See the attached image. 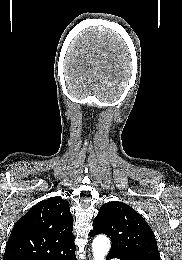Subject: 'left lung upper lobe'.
<instances>
[{"mask_svg":"<svg viewBox=\"0 0 182 260\" xmlns=\"http://www.w3.org/2000/svg\"><path fill=\"white\" fill-rule=\"evenodd\" d=\"M106 234L112 240L111 254L133 260H160L154 233L145 219L123 202L101 206L90 236Z\"/></svg>","mask_w":182,"mask_h":260,"instance_id":"5c2ea615","label":"left lung upper lobe"}]
</instances>
